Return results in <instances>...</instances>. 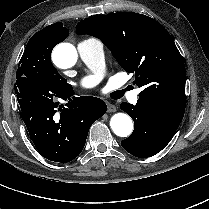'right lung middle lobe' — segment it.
Wrapping results in <instances>:
<instances>
[{
	"instance_id": "1",
	"label": "right lung middle lobe",
	"mask_w": 209,
	"mask_h": 209,
	"mask_svg": "<svg viewBox=\"0 0 209 209\" xmlns=\"http://www.w3.org/2000/svg\"><path fill=\"white\" fill-rule=\"evenodd\" d=\"M49 32H37L26 45L16 73L17 81L30 79L51 84L58 88L69 86L67 79L52 66L51 52L55 43L48 38Z\"/></svg>"
}]
</instances>
